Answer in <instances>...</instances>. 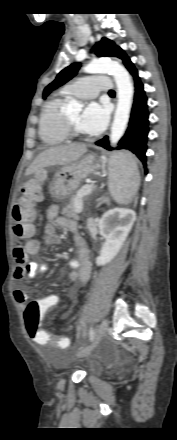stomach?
<instances>
[{
	"instance_id": "stomach-1",
	"label": "stomach",
	"mask_w": 177,
	"mask_h": 440,
	"mask_svg": "<svg viewBox=\"0 0 177 440\" xmlns=\"http://www.w3.org/2000/svg\"><path fill=\"white\" fill-rule=\"evenodd\" d=\"M121 159L120 153L115 154L110 161L112 165L116 160ZM99 167L98 159L92 155H85L70 164L64 165L55 173L50 184V194L55 199H64L70 196L79 186L81 181L92 174ZM42 169L36 171L38 178Z\"/></svg>"
}]
</instances>
